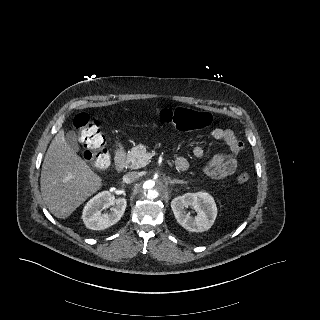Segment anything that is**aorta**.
I'll list each match as a JSON object with an SVG mask.
<instances>
[{"label":"aorta","mask_w":320,"mask_h":320,"mask_svg":"<svg viewBox=\"0 0 320 320\" xmlns=\"http://www.w3.org/2000/svg\"><path fill=\"white\" fill-rule=\"evenodd\" d=\"M161 186L159 179L148 178L141 185V194L147 200H156L160 196Z\"/></svg>","instance_id":"aorta-1"}]
</instances>
